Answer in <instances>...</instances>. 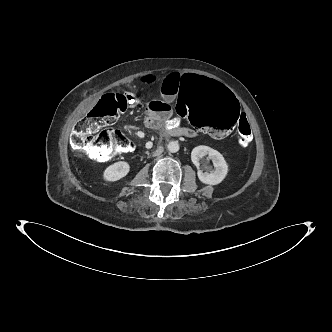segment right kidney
<instances>
[{"instance_id": "right-kidney-1", "label": "right kidney", "mask_w": 332, "mask_h": 332, "mask_svg": "<svg viewBox=\"0 0 332 332\" xmlns=\"http://www.w3.org/2000/svg\"><path fill=\"white\" fill-rule=\"evenodd\" d=\"M130 171V165L125 161H118L108 166L103 172V179L114 182L125 177Z\"/></svg>"}]
</instances>
